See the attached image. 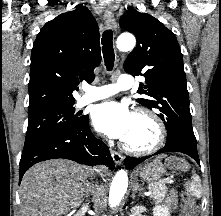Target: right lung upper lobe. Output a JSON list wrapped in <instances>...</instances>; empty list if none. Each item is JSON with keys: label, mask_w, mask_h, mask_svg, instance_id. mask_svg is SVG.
<instances>
[{"label": "right lung upper lobe", "mask_w": 221, "mask_h": 216, "mask_svg": "<svg viewBox=\"0 0 221 216\" xmlns=\"http://www.w3.org/2000/svg\"><path fill=\"white\" fill-rule=\"evenodd\" d=\"M99 28L86 7L63 13L40 30L31 53L29 115L75 103L73 90L93 81L101 62Z\"/></svg>", "instance_id": "obj_1"}]
</instances>
